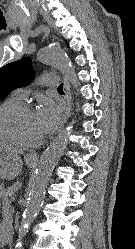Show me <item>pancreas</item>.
Masks as SVG:
<instances>
[{"instance_id":"pancreas-1","label":"pancreas","mask_w":135,"mask_h":249,"mask_svg":"<svg viewBox=\"0 0 135 249\" xmlns=\"http://www.w3.org/2000/svg\"><path fill=\"white\" fill-rule=\"evenodd\" d=\"M17 190L16 185H12L8 187L7 189H1V193H3L5 199H7L9 196H11L15 191Z\"/></svg>"}]
</instances>
